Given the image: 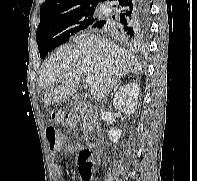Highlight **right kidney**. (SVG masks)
I'll use <instances>...</instances> for the list:
<instances>
[{
	"mask_svg": "<svg viewBox=\"0 0 197 181\" xmlns=\"http://www.w3.org/2000/svg\"><path fill=\"white\" fill-rule=\"evenodd\" d=\"M140 94L139 85L135 82L122 86L113 99V106L119 111L131 115L135 113ZM111 142L117 143L121 137L122 131L117 128H111L108 131Z\"/></svg>",
	"mask_w": 197,
	"mask_h": 181,
	"instance_id": "obj_1",
	"label": "right kidney"
}]
</instances>
